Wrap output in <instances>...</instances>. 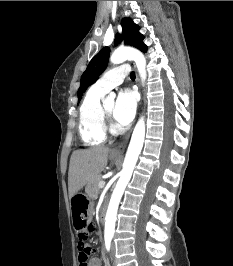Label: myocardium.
<instances>
[{"label":"myocardium","mask_w":233,"mask_h":266,"mask_svg":"<svg viewBox=\"0 0 233 266\" xmlns=\"http://www.w3.org/2000/svg\"><path fill=\"white\" fill-rule=\"evenodd\" d=\"M101 112H102V117H103V121L106 124H108L111 121V115H109L104 107V105H102L101 107Z\"/></svg>","instance_id":"1"}]
</instances>
